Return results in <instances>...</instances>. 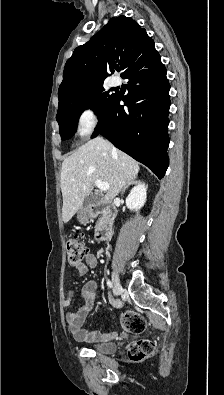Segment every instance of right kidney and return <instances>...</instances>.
Wrapping results in <instances>:
<instances>
[{
  "label": "right kidney",
  "mask_w": 224,
  "mask_h": 395,
  "mask_svg": "<svg viewBox=\"0 0 224 395\" xmlns=\"http://www.w3.org/2000/svg\"><path fill=\"white\" fill-rule=\"evenodd\" d=\"M147 197V185L139 182L126 198V206L130 210H139L144 206Z\"/></svg>",
  "instance_id": "ca27d5eb"
}]
</instances>
